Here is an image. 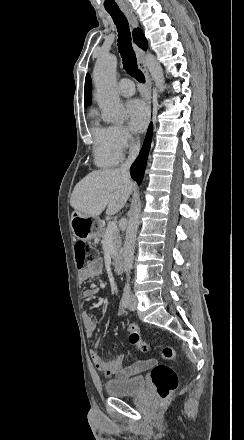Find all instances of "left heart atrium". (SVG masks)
<instances>
[{
    "label": "left heart atrium",
    "mask_w": 244,
    "mask_h": 440,
    "mask_svg": "<svg viewBox=\"0 0 244 440\" xmlns=\"http://www.w3.org/2000/svg\"><path fill=\"white\" fill-rule=\"evenodd\" d=\"M127 111L130 126L137 131H143L149 120V112L145 103L139 99H133L128 103Z\"/></svg>",
    "instance_id": "left-heart-atrium-1"
}]
</instances>
